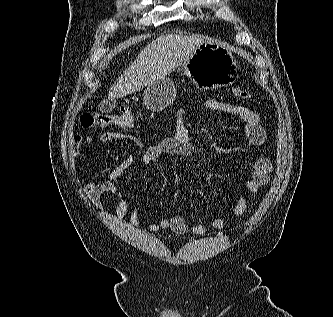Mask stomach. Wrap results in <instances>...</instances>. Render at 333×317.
Listing matches in <instances>:
<instances>
[{
	"label": "stomach",
	"instance_id": "obj_1",
	"mask_svg": "<svg viewBox=\"0 0 333 317\" xmlns=\"http://www.w3.org/2000/svg\"><path fill=\"white\" fill-rule=\"evenodd\" d=\"M238 65L232 51L225 45L206 41L199 45L179 70L188 76L199 89L208 90L232 82ZM176 96L173 81L167 77L151 82L143 95L144 105L151 111H162Z\"/></svg>",
	"mask_w": 333,
	"mask_h": 317
}]
</instances>
